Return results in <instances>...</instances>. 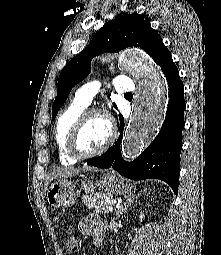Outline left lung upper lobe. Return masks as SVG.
<instances>
[{
    "mask_svg": "<svg viewBox=\"0 0 221 255\" xmlns=\"http://www.w3.org/2000/svg\"><path fill=\"white\" fill-rule=\"evenodd\" d=\"M164 46L160 35L151 28L149 19L143 14L118 15L114 20L106 23L89 45L61 71L57 97L52 107V119L56 117L71 89L90 73L93 57L105 52H119L126 47H139L155 61ZM113 106L116 108L115 104Z\"/></svg>",
    "mask_w": 221,
    "mask_h": 255,
    "instance_id": "5c2ea615",
    "label": "left lung upper lobe"
}]
</instances>
